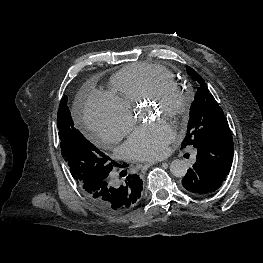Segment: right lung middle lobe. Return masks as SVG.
Masks as SVG:
<instances>
[{
	"label": "right lung middle lobe",
	"mask_w": 263,
	"mask_h": 263,
	"mask_svg": "<svg viewBox=\"0 0 263 263\" xmlns=\"http://www.w3.org/2000/svg\"><path fill=\"white\" fill-rule=\"evenodd\" d=\"M67 101L65 96L60 102L57 126L61 140V153L73 178L81 183L87 178L108 175L115 165L114 162L75 128Z\"/></svg>",
	"instance_id": "right-lung-middle-lobe-1"
}]
</instances>
